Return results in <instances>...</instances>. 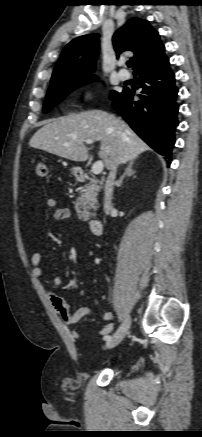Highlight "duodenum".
<instances>
[{
    "mask_svg": "<svg viewBox=\"0 0 202 437\" xmlns=\"http://www.w3.org/2000/svg\"><path fill=\"white\" fill-rule=\"evenodd\" d=\"M79 181H85L86 175L83 171H78L76 175ZM89 230L94 235H100L102 232V222L98 218H92L88 222Z\"/></svg>",
    "mask_w": 202,
    "mask_h": 437,
    "instance_id": "410a0bca",
    "label": "duodenum"
}]
</instances>
